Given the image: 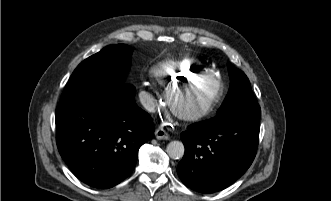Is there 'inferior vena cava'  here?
Returning a JSON list of instances; mask_svg holds the SVG:
<instances>
[{
  "mask_svg": "<svg viewBox=\"0 0 331 201\" xmlns=\"http://www.w3.org/2000/svg\"><path fill=\"white\" fill-rule=\"evenodd\" d=\"M140 101L142 105L150 112H154L156 109V100L148 93L142 92L140 94Z\"/></svg>",
  "mask_w": 331,
  "mask_h": 201,
  "instance_id": "602c4592",
  "label": "inferior vena cava"
}]
</instances>
